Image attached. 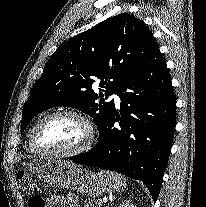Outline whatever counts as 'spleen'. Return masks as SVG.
<instances>
[{
	"instance_id": "1",
	"label": "spleen",
	"mask_w": 206,
	"mask_h": 207,
	"mask_svg": "<svg viewBox=\"0 0 206 207\" xmlns=\"http://www.w3.org/2000/svg\"><path fill=\"white\" fill-rule=\"evenodd\" d=\"M98 175L102 178H106L110 181L113 190L122 191L126 186V178L120 174L114 172L100 171Z\"/></svg>"
}]
</instances>
